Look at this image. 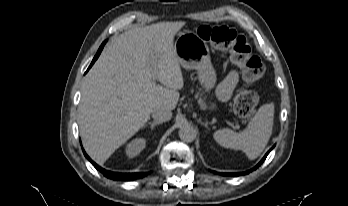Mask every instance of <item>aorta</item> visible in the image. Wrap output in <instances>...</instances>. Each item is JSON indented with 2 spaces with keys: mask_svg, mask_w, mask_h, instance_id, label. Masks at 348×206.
<instances>
[{
  "mask_svg": "<svg viewBox=\"0 0 348 206\" xmlns=\"http://www.w3.org/2000/svg\"><path fill=\"white\" fill-rule=\"evenodd\" d=\"M179 138L184 142H192L196 137V132L190 124H183L178 131Z\"/></svg>",
  "mask_w": 348,
  "mask_h": 206,
  "instance_id": "1",
  "label": "aorta"
}]
</instances>
